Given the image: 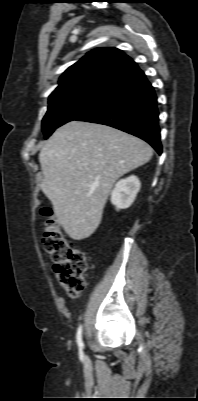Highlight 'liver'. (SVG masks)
<instances>
[{
	"mask_svg": "<svg viewBox=\"0 0 198 401\" xmlns=\"http://www.w3.org/2000/svg\"><path fill=\"white\" fill-rule=\"evenodd\" d=\"M152 154L145 141L106 125L70 121L59 127L39 154L41 189L57 223L74 240L91 236L116 180Z\"/></svg>",
	"mask_w": 198,
	"mask_h": 401,
	"instance_id": "obj_1",
	"label": "liver"
}]
</instances>
